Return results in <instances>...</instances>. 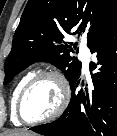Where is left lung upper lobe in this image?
Listing matches in <instances>:
<instances>
[{"instance_id":"left-lung-upper-lobe-1","label":"left lung upper lobe","mask_w":117,"mask_h":136,"mask_svg":"<svg viewBox=\"0 0 117 136\" xmlns=\"http://www.w3.org/2000/svg\"><path fill=\"white\" fill-rule=\"evenodd\" d=\"M115 21L117 0H29L4 64V84L30 64L46 61L63 71L71 85L81 63L70 56L77 44L72 47L65 36H85L91 48Z\"/></svg>"}]
</instances>
